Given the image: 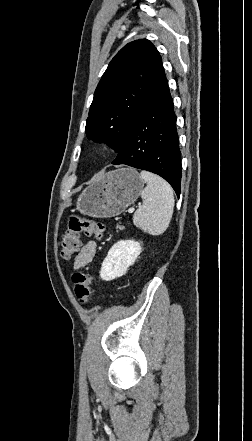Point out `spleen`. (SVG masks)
I'll use <instances>...</instances> for the list:
<instances>
[{"mask_svg":"<svg viewBox=\"0 0 252 441\" xmlns=\"http://www.w3.org/2000/svg\"><path fill=\"white\" fill-rule=\"evenodd\" d=\"M140 177L147 186L141 192L143 205L134 213L133 223L150 235H161L172 218L173 190L164 179L148 171H141Z\"/></svg>","mask_w":252,"mask_h":441,"instance_id":"spleen-1","label":"spleen"}]
</instances>
